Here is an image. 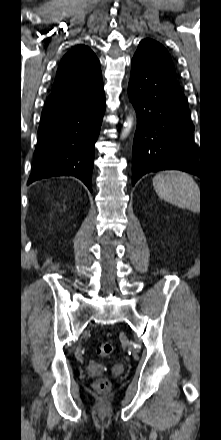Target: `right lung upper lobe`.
<instances>
[{
	"instance_id": "cb5924a9",
	"label": "right lung upper lobe",
	"mask_w": 221,
	"mask_h": 440,
	"mask_svg": "<svg viewBox=\"0 0 221 440\" xmlns=\"http://www.w3.org/2000/svg\"><path fill=\"white\" fill-rule=\"evenodd\" d=\"M99 64V60L89 47L85 45L74 47L60 62L52 92L97 84L102 80Z\"/></svg>"
}]
</instances>
